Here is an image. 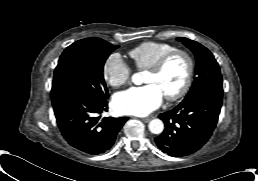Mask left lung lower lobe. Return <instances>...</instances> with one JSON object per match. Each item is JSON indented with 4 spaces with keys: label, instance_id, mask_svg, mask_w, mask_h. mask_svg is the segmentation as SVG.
Segmentation results:
<instances>
[{
    "label": "left lung lower lobe",
    "instance_id": "left-lung-lower-lobe-1",
    "mask_svg": "<svg viewBox=\"0 0 258 181\" xmlns=\"http://www.w3.org/2000/svg\"><path fill=\"white\" fill-rule=\"evenodd\" d=\"M222 98V92H207L160 114L165 129L155 138L157 146L173 157L196 152L208 141L216 126Z\"/></svg>",
    "mask_w": 258,
    "mask_h": 181
}]
</instances>
